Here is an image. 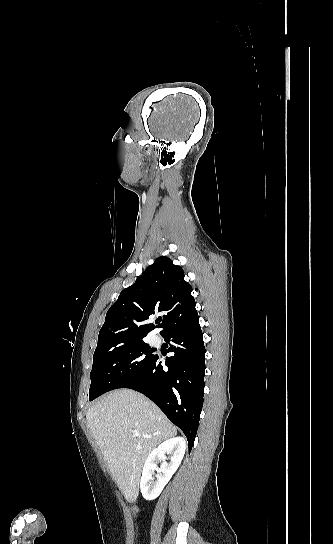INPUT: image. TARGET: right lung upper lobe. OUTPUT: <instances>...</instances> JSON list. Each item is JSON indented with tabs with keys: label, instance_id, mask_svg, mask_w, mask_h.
Wrapping results in <instances>:
<instances>
[{
	"label": "right lung upper lobe",
	"instance_id": "obj_1",
	"mask_svg": "<svg viewBox=\"0 0 333 544\" xmlns=\"http://www.w3.org/2000/svg\"><path fill=\"white\" fill-rule=\"evenodd\" d=\"M192 287L184 280L183 269L168 257H158L135 283L124 289L107 311L97 347L109 341H130L155 329L150 315L164 311L161 335L173 324L197 313Z\"/></svg>",
	"mask_w": 333,
	"mask_h": 544
}]
</instances>
